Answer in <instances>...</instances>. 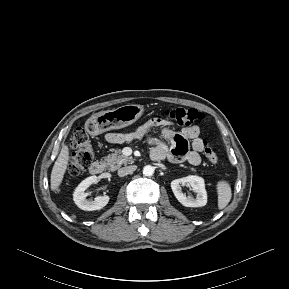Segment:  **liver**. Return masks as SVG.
<instances>
[{"instance_id": "obj_1", "label": "liver", "mask_w": 289, "mask_h": 289, "mask_svg": "<svg viewBox=\"0 0 289 289\" xmlns=\"http://www.w3.org/2000/svg\"><path fill=\"white\" fill-rule=\"evenodd\" d=\"M68 162H69V148L67 145L64 144L62 146V149L60 151L57 160L55 161V164L51 172V190L53 192L58 191V188L61 185L65 172L67 170Z\"/></svg>"}]
</instances>
